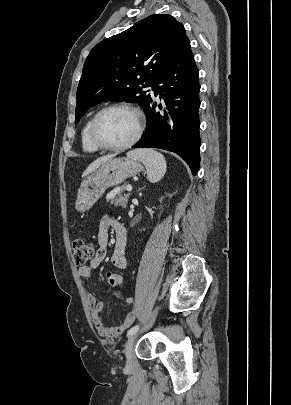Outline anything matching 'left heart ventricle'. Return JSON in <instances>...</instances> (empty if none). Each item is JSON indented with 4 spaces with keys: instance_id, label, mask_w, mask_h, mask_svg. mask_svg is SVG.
<instances>
[{
    "instance_id": "b2bd125f",
    "label": "left heart ventricle",
    "mask_w": 291,
    "mask_h": 405,
    "mask_svg": "<svg viewBox=\"0 0 291 405\" xmlns=\"http://www.w3.org/2000/svg\"><path fill=\"white\" fill-rule=\"evenodd\" d=\"M137 130L135 115L127 110L115 109L104 113L97 125L99 139L109 145L129 141Z\"/></svg>"
}]
</instances>
